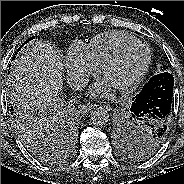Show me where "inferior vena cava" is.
Masks as SVG:
<instances>
[{
	"label": "inferior vena cava",
	"instance_id": "inferior-vena-cava-1",
	"mask_svg": "<svg viewBox=\"0 0 184 184\" xmlns=\"http://www.w3.org/2000/svg\"><path fill=\"white\" fill-rule=\"evenodd\" d=\"M88 78L81 75H74L68 79V83L74 90H81L88 84Z\"/></svg>",
	"mask_w": 184,
	"mask_h": 184
}]
</instances>
